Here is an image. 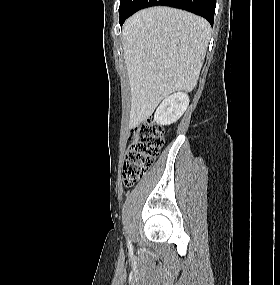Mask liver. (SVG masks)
<instances>
[{"instance_id":"obj_1","label":"liver","mask_w":280,"mask_h":285,"mask_svg":"<svg viewBox=\"0 0 280 285\" xmlns=\"http://www.w3.org/2000/svg\"><path fill=\"white\" fill-rule=\"evenodd\" d=\"M210 33L202 17L169 7L147 8L126 20L122 45L131 92V128L147 120L171 93L189 92L196 86Z\"/></svg>"}]
</instances>
